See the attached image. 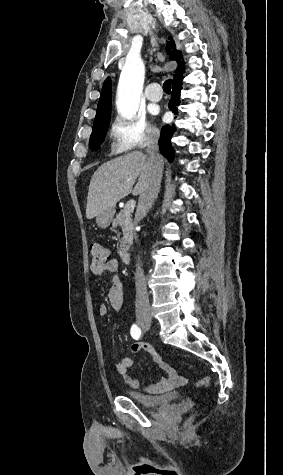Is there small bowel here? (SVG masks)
Wrapping results in <instances>:
<instances>
[{"mask_svg": "<svg viewBox=\"0 0 283 475\" xmlns=\"http://www.w3.org/2000/svg\"><path fill=\"white\" fill-rule=\"evenodd\" d=\"M118 261L116 259H112L107 263L104 264H95L92 263L90 265L89 271L91 275L95 277H99L106 272L113 273L112 278V285L108 292V300L110 306L118 311L122 308L124 303V284L122 279L116 274L118 270ZM98 314L101 317H105L108 314V307L105 304H100L98 307ZM141 348H144L146 351L150 353L154 362L159 365L161 369H163L167 376L162 378L159 381L157 390L167 391L169 389H174L176 387L182 386L185 384L186 380H184V373L182 371H175L171 368L168 364H166L160 355L150 346L147 344L144 345H134L132 346V351L137 352ZM134 360L131 357L125 356L122 357L119 361L113 363L114 371L123 376L124 381L131 386L132 388L138 389L141 387V382L135 376L129 373L130 367H132Z\"/></svg>", "mask_w": 283, "mask_h": 475, "instance_id": "small-bowel-1", "label": "small bowel"}]
</instances>
